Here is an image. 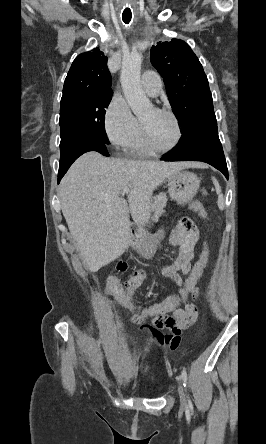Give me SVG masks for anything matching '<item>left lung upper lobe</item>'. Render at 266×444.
Returning <instances> with one entry per match:
<instances>
[{"label": "left lung upper lobe", "instance_id": "1", "mask_svg": "<svg viewBox=\"0 0 266 444\" xmlns=\"http://www.w3.org/2000/svg\"><path fill=\"white\" fill-rule=\"evenodd\" d=\"M151 63L164 78L172 111L184 131L196 120L214 113L205 72L190 46L179 39L159 42Z\"/></svg>", "mask_w": 266, "mask_h": 444}]
</instances>
